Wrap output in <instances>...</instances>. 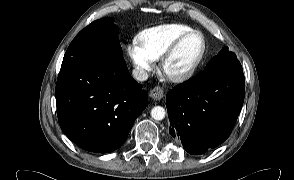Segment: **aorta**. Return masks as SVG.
<instances>
[{"instance_id": "762f6f07", "label": "aorta", "mask_w": 294, "mask_h": 180, "mask_svg": "<svg viewBox=\"0 0 294 180\" xmlns=\"http://www.w3.org/2000/svg\"><path fill=\"white\" fill-rule=\"evenodd\" d=\"M165 109L161 106H155L151 110V116L155 120H162L165 118Z\"/></svg>"}]
</instances>
